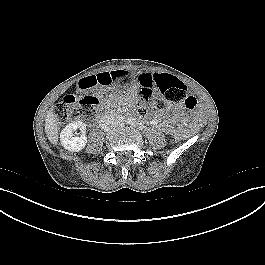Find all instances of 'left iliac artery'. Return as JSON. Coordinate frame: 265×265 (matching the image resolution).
I'll list each match as a JSON object with an SVG mask.
<instances>
[{
  "mask_svg": "<svg viewBox=\"0 0 265 265\" xmlns=\"http://www.w3.org/2000/svg\"><path fill=\"white\" fill-rule=\"evenodd\" d=\"M126 122L128 124H130V125H133V126H138L139 125V123L132 117L127 118Z\"/></svg>",
  "mask_w": 265,
  "mask_h": 265,
  "instance_id": "1",
  "label": "left iliac artery"
}]
</instances>
